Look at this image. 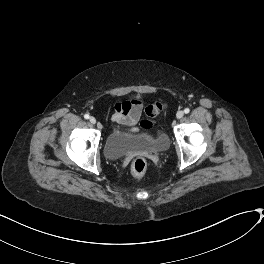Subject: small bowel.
<instances>
[{"label":"small bowel","mask_w":264,"mask_h":264,"mask_svg":"<svg viewBox=\"0 0 264 264\" xmlns=\"http://www.w3.org/2000/svg\"><path fill=\"white\" fill-rule=\"evenodd\" d=\"M143 109L142 101L134 98L129 101L119 103L111 115V121L120 125V129L128 132H139L137 126ZM140 126L146 130V121H142Z\"/></svg>","instance_id":"1"}]
</instances>
